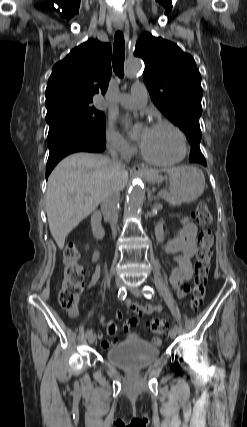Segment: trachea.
Wrapping results in <instances>:
<instances>
[{
  "mask_svg": "<svg viewBox=\"0 0 247 427\" xmlns=\"http://www.w3.org/2000/svg\"><path fill=\"white\" fill-rule=\"evenodd\" d=\"M124 59H125V41L122 32H116L114 36V46H113V70L122 78L124 73Z\"/></svg>",
  "mask_w": 247,
  "mask_h": 427,
  "instance_id": "3493384b",
  "label": "trachea"
}]
</instances>
